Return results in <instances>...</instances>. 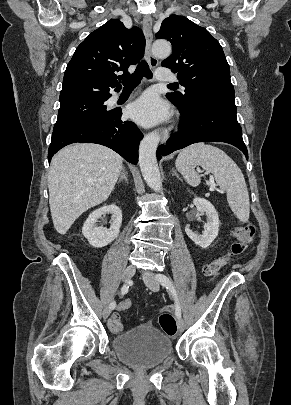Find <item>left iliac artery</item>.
Returning <instances> with one entry per match:
<instances>
[{"label": "left iliac artery", "mask_w": 291, "mask_h": 405, "mask_svg": "<svg viewBox=\"0 0 291 405\" xmlns=\"http://www.w3.org/2000/svg\"><path fill=\"white\" fill-rule=\"evenodd\" d=\"M156 279L161 283L163 287H165L167 290H169L174 297L175 300V314L177 318L181 317V309L179 305V301L177 298L176 290L171 282V280L164 274H156Z\"/></svg>", "instance_id": "obj_1"}]
</instances>
